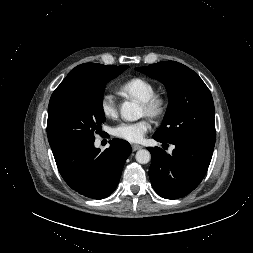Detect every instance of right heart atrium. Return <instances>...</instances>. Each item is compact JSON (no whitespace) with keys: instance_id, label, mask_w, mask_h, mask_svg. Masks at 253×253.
<instances>
[{"instance_id":"right-heart-atrium-1","label":"right heart atrium","mask_w":253,"mask_h":253,"mask_svg":"<svg viewBox=\"0 0 253 253\" xmlns=\"http://www.w3.org/2000/svg\"><path fill=\"white\" fill-rule=\"evenodd\" d=\"M100 110L107 118H115L117 116V98L111 91L106 90L102 93L100 98Z\"/></svg>"}]
</instances>
